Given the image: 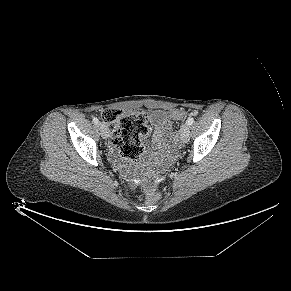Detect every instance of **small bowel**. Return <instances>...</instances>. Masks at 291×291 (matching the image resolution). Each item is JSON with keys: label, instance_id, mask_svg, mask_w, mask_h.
<instances>
[{"label": "small bowel", "instance_id": "small-bowel-1", "mask_svg": "<svg viewBox=\"0 0 291 291\" xmlns=\"http://www.w3.org/2000/svg\"><path fill=\"white\" fill-rule=\"evenodd\" d=\"M150 121L153 125L151 146L154 151L148 152L145 156L144 166L148 172L154 167L162 168L168 165L173 157V150L170 144L172 138V127L168 114L162 110L151 113ZM148 131L141 135V140L146 138ZM126 167L125 164H122Z\"/></svg>", "mask_w": 291, "mask_h": 291}]
</instances>
